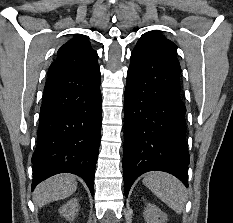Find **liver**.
Wrapping results in <instances>:
<instances>
[{"instance_id":"6515ba94","label":"liver","mask_w":233,"mask_h":223,"mask_svg":"<svg viewBox=\"0 0 233 223\" xmlns=\"http://www.w3.org/2000/svg\"><path fill=\"white\" fill-rule=\"evenodd\" d=\"M77 189V181L74 175L69 173H60L49 177L45 181H41L35 191H33V199L38 203L39 207L50 203V201H57V199H64L75 193Z\"/></svg>"}]
</instances>
